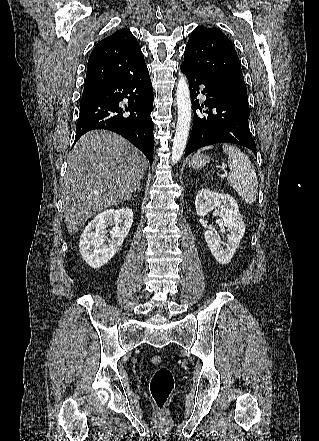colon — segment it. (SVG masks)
<instances>
[{"instance_id":"colon-1","label":"colon","mask_w":319,"mask_h":441,"mask_svg":"<svg viewBox=\"0 0 319 441\" xmlns=\"http://www.w3.org/2000/svg\"><path fill=\"white\" fill-rule=\"evenodd\" d=\"M151 363L157 366V369L150 380V395L158 415L164 416L174 389V375L167 366L163 365L161 356H152Z\"/></svg>"}]
</instances>
